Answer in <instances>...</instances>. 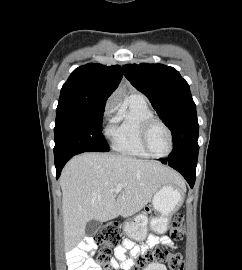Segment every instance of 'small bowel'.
Returning a JSON list of instances; mask_svg holds the SVG:
<instances>
[{"instance_id": "obj_1", "label": "small bowel", "mask_w": 242, "mask_h": 270, "mask_svg": "<svg viewBox=\"0 0 242 270\" xmlns=\"http://www.w3.org/2000/svg\"><path fill=\"white\" fill-rule=\"evenodd\" d=\"M158 244L171 247L173 243L167 236L161 238L154 235H149L144 245H136L129 239L123 240L121 245L116 247L114 254L115 258L112 261L114 266H118L124 270L129 269L133 265V258L147 252L149 248H154ZM95 244L91 238H86L79 246L69 252L68 263L73 270H101L97 263L91 259L86 258L89 251L93 250ZM129 252V257L126 252ZM146 270H167L163 264L152 263Z\"/></svg>"}]
</instances>
